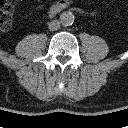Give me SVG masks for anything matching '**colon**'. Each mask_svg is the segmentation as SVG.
<instances>
[{
    "label": "colon",
    "instance_id": "5ec220e1",
    "mask_svg": "<svg viewBox=\"0 0 128 128\" xmlns=\"http://www.w3.org/2000/svg\"><path fill=\"white\" fill-rule=\"evenodd\" d=\"M12 27V11L5 0H0V31L7 32Z\"/></svg>",
    "mask_w": 128,
    "mask_h": 128
}]
</instances>
